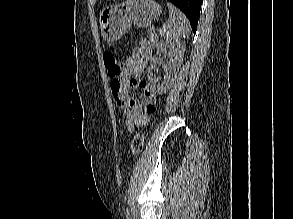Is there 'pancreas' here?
I'll return each mask as SVG.
<instances>
[{
    "label": "pancreas",
    "instance_id": "cf45deb5",
    "mask_svg": "<svg viewBox=\"0 0 293 219\" xmlns=\"http://www.w3.org/2000/svg\"><path fill=\"white\" fill-rule=\"evenodd\" d=\"M149 41L152 43V45H156L158 41V34L156 33L154 28H150L148 30V35H147Z\"/></svg>",
    "mask_w": 293,
    "mask_h": 219
}]
</instances>
